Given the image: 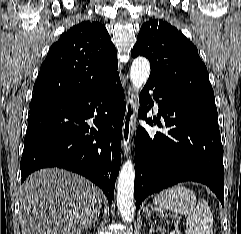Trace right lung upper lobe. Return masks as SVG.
Wrapping results in <instances>:
<instances>
[{"mask_svg": "<svg viewBox=\"0 0 241 234\" xmlns=\"http://www.w3.org/2000/svg\"><path fill=\"white\" fill-rule=\"evenodd\" d=\"M117 68L116 49L106 28L89 21L75 25L51 46L30 106L89 93L117 76Z\"/></svg>", "mask_w": 241, "mask_h": 234, "instance_id": "1", "label": "right lung upper lobe"}]
</instances>
